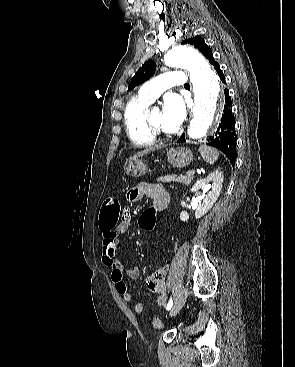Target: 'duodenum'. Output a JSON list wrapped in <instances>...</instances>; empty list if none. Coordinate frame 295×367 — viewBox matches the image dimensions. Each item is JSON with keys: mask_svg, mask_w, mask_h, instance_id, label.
<instances>
[{"mask_svg": "<svg viewBox=\"0 0 295 367\" xmlns=\"http://www.w3.org/2000/svg\"><path fill=\"white\" fill-rule=\"evenodd\" d=\"M165 203H163V202H157L156 203V206H157V208H158V210H161V209H163L164 207H165Z\"/></svg>", "mask_w": 295, "mask_h": 367, "instance_id": "410a0bca", "label": "duodenum"}]
</instances>
